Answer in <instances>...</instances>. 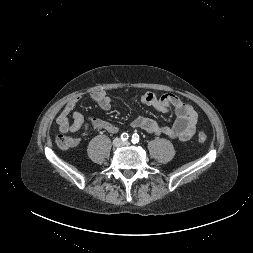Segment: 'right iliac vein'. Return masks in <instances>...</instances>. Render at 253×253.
Here are the masks:
<instances>
[{
  "label": "right iliac vein",
  "instance_id": "1",
  "mask_svg": "<svg viewBox=\"0 0 253 253\" xmlns=\"http://www.w3.org/2000/svg\"><path fill=\"white\" fill-rule=\"evenodd\" d=\"M121 144H122V142L119 138H116V139L113 140V146L114 147H119V146H121Z\"/></svg>",
  "mask_w": 253,
  "mask_h": 253
}]
</instances>
